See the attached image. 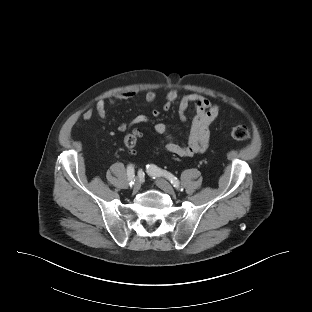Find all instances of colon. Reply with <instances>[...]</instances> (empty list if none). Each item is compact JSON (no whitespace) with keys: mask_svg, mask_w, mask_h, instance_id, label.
Masks as SVG:
<instances>
[{"mask_svg":"<svg viewBox=\"0 0 312 312\" xmlns=\"http://www.w3.org/2000/svg\"><path fill=\"white\" fill-rule=\"evenodd\" d=\"M230 133H231V136L235 140H239V141H245V140L250 139L251 137L250 129L244 125H237V126L232 127ZM140 135H141V132L139 129H133L131 132H129L125 136L124 145L130 153L134 152L135 146L137 144V141Z\"/></svg>","mask_w":312,"mask_h":312,"instance_id":"5ec220e1","label":"colon"}]
</instances>
